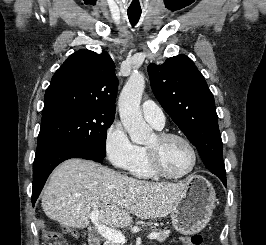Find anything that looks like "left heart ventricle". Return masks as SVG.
I'll return each instance as SVG.
<instances>
[{"label":"left heart ventricle","instance_id":"left-heart-ventricle-1","mask_svg":"<svg viewBox=\"0 0 266 245\" xmlns=\"http://www.w3.org/2000/svg\"><path fill=\"white\" fill-rule=\"evenodd\" d=\"M145 147L155 155L161 169L169 175L181 176L192 165V152L188 145L179 139L161 141L154 135Z\"/></svg>","mask_w":266,"mask_h":245}]
</instances>
